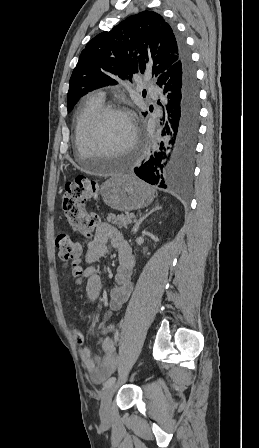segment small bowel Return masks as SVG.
<instances>
[{
	"instance_id": "c3829d8e",
	"label": "small bowel",
	"mask_w": 259,
	"mask_h": 448,
	"mask_svg": "<svg viewBox=\"0 0 259 448\" xmlns=\"http://www.w3.org/2000/svg\"><path fill=\"white\" fill-rule=\"evenodd\" d=\"M108 242L118 252V267L114 275L115 285L110 293L109 311L105 314L97 328L98 333L105 335L102 343L104 355L102 357L93 355L90 349L84 346V335L76 328H73L74 339L81 346L79 349L80 358L88 370L90 379L95 383H101L116 368L117 357L115 347L111 338L108 336L114 330V325L109 323V319L112 313L120 309L129 299L133 290L132 276L135 257L130 245L123 234L114 226L109 223H102L97 227L93 239L86 247L84 256L85 266L80 274V278L87 280V297L91 301H96L100 295L102 286L100 275L97 268L92 264L107 254ZM66 304L69 306L70 302L67 301ZM70 320L74 326V315H70Z\"/></svg>"
}]
</instances>
